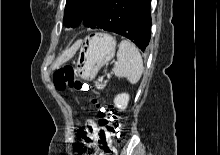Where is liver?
<instances>
[{
  "instance_id": "obj_1",
  "label": "liver",
  "mask_w": 220,
  "mask_h": 155,
  "mask_svg": "<svg viewBox=\"0 0 220 155\" xmlns=\"http://www.w3.org/2000/svg\"><path fill=\"white\" fill-rule=\"evenodd\" d=\"M80 45H81V41L77 42L69 50L65 51L55 62V64L53 65V69L58 68L63 63H65L69 59H71L74 56V54L76 53V51L78 50V48L80 47Z\"/></svg>"
}]
</instances>
